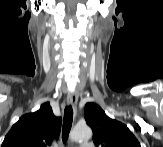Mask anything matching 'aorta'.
<instances>
[{"label":"aorta","instance_id":"obj_1","mask_svg":"<svg viewBox=\"0 0 163 147\" xmlns=\"http://www.w3.org/2000/svg\"><path fill=\"white\" fill-rule=\"evenodd\" d=\"M91 137H92V130L86 124L75 126L71 134V138L74 141H87Z\"/></svg>","mask_w":163,"mask_h":147}]
</instances>
